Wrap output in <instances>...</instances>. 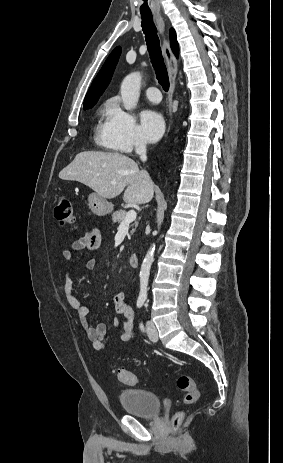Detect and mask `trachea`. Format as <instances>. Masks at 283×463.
Instances as JSON below:
<instances>
[{"label": "trachea", "mask_w": 283, "mask_h": 463, "mask_svg": "<svg viewBox=\"0 0 283 463\" xmlns=\"http://www.w3.org/2000/svg\"><path fill=\"white\" fill-rule=\"evenodd\" d=\"M141 17L142 29L145 34L147 48L152 65L155 69L156 77L160 85L167 92L169 90V77L160 48V40L157 35V28L151 15L142 14Z\"/></svg>", "instance_id": "trachea-1"}]
</instances>
